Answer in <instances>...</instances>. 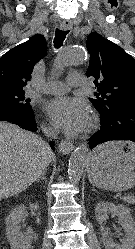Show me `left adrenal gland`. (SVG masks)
Instances as JSON below:
<instances>
[{"label":"left adrenal gland","mask_w":135,"mask_h":249,"mask_svg":"<svg viewBox=\"0 0 135 249\" xmlns=\"http://www.w3.org/2000/svg\"><path fill=\"white\" fill-rule=\"evenodd\" d=\"M93 191H95V192H96V189H94V188H93Z\"/></svg>","instance_id":"a2214340"}]
</instances>
